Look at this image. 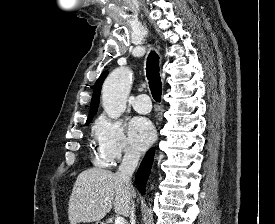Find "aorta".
<instances>
[{
  "label": "aorta",
  "instance_id": "1",
  "mask_svg": "<svg viewBox=\"0 0 275 224\" xmlns=\"http://www.w3.org/2000/svg\"><path fill=\"white\" fill-rule=\"evenodd\" d=\"M132 85V71L119 67L112 71L102 87V105L108 117L118 119L126 109Z\"/></svg>",
  "mask_w": 275,
  "mask_h": 224
}]
</instances>
